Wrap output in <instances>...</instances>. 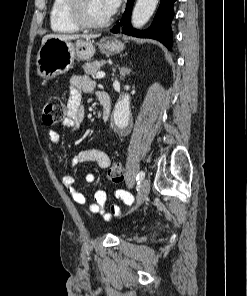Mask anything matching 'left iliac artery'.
Segmentation results:
<instances>
[{
	"label": "left iliac artery",
	"mask_w": 247,
	"mask_h": 296,
	"mask_svg": "<svg viewBox=\"0 0 247 296\" xmlns=\"http://www.w3.org/2000/svg\"><path fill=\"white\" fill-rule=\"evenodd\" d=\"M144 177L145 173L143 171H140L136 177V181L138 182V184L143 181Z\"/></svg>",
	"instance_id": "1"
}]
</instances>
